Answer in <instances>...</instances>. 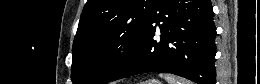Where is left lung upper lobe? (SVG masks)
Segmentation results:
<instances>
[{
    "label": "left lung upper lobe",
    "instance_id": "left-lung-upper-lobe-1",
    "mask_svg": "<svg viewBox=\"0 0 260 84\" xmlns=\"http://www.w3.org/2000/svg\"><path fill=\"white\" fill-rule=\"evenodd\" d=\"M156 0H88L72 47L73 84H107L134 52Z\"/></svg>",
    "mask_w": 260,
    "mask_h": 84
}]
</instances>
